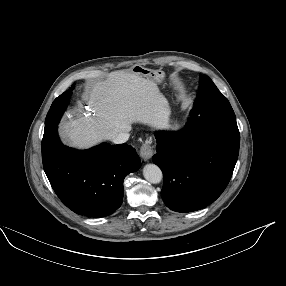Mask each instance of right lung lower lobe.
I'll return each instance as SVG.
<instances>
[{"mask_svg": "<svg viewBox=\"0 0 286 286\" xmlns=\"http://www.w3.org/2000/svg\"><path fill=\"white\" fill-rule=\"evenodd\" d=\"M42 160L59 199L77 214L94 218L112 214L123 200V180L141 161L127 144H100L88 150L64 146L57 126L44 131Z\"/></svg>", "mask_w": 286, "mask_h": 286, "instance_id": "1", "label": "right lung lower lobe"}]
</instances>
